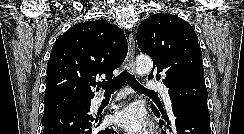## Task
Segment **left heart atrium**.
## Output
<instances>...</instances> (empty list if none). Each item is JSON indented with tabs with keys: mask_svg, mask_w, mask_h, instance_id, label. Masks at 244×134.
I'll use <instances>...</instances> for the list:
<instances>
[{
	"mask_svg": "<svg viewBox=\"0 0 244 134\" xmlns=\"http://www.w3.org/2000/svg\"><path fill=\"white\" fill-rule=\"evenodd\" d=\"M115 123L129 134H146L148 123L143 110L132 105L119 111L114 117Z\"/></svg>",
	"mask_w": 244,
	"mask_h": 134,
	"instance_id": "39dd6f15",
	"label": "left heart atrium"
}]
</instances>
